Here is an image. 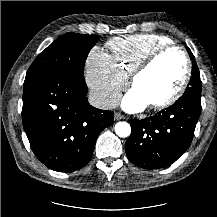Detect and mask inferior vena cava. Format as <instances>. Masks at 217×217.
I'll return each mask as SVG.
<instances>
[{"mask_svg": "<svg viewBox=\"0 0 217 217\" xmlns=\"http://www.w3.org/2000/svg\"><path fill=\"white\" fill-rule=\"evenodd\" d=\"M88 101L98 109L110 110L118 106L119 97L113 93L91 91L88 94Z\"/></svg>", "mask_w": 217, "mask_h": 217, "instance_id": "obj_1", "label": "inferior vena cava"}]
</instances>
